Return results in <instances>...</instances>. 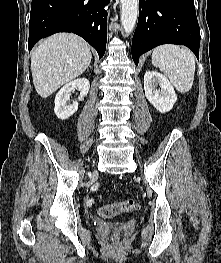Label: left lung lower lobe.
<instances>
[{
	"mask_svg": "<svg viewBox=\"0 0 221 263\" xmlns=\"http://www.w3.org/2000/svg\"><path fill=\"white\" fill-rule=\"evenodd\" d=\"M166 43L185 45L199 59L200 27L194 0H139V18L132 40V58Z\"/></svg>",
	"mask_w": 221,
	"mask_h": 263,
	"instance_id": "left-lung-lower-lobe-1",
	"label": "left lung lower lobe"
}]
</instances>
